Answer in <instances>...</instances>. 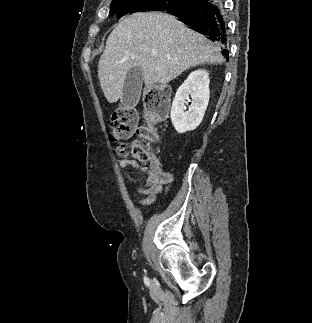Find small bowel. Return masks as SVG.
<instances>
[{
    "label": "small bowel",
    "mask_w": 312,
    "mask_h": 323,
    "mask_svg": "<svg viewBox=\"0 0 312 323\" xmlns=\"http://www.w3.org/2000/svg\"><path fill=\"white\" fill-rule=\"evenodd\" d=\"M119 166L122 170L132 166L147 173L144 184L138 188V193L146 197L138 202L141 207L150 206L155 201L157 195L170 187L174 182L173 175L162 170L160 161L156 157H153L147 165H141L132 159L122 158L119 160Z\"/></svg>",
    "instance_id": "1"
}]
</instances>
